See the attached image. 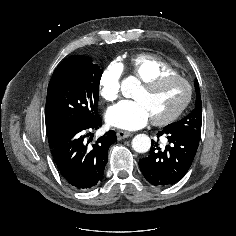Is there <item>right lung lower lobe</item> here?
<instances>
[{
    "label": "right lung lower lobe",
    "mask_w": 236,
    "mask_h": 236,
    "mask_svg": "<svg viewBox=\"0 0 236 236\" xmlns=\"http://www.w3.org/2000/svg\"><path fill=\"white\" fill-rule=\"evenodd\" d=\"M102 126L99 115L76 125L62 127L48 136L49 147L62 177L74 188L87 190L99 183L108 160V149L117 141L113 130L99 137L92 145L87 133ZM91 139V137H90Z\"/></svg>",
    "instance_id": "98d812e1"
}]
</instances>
